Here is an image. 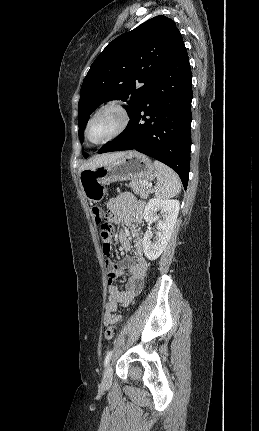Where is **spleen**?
Returning <instances> with one entry per match:
<instances>
[{"instance_id": "obj_1", "label": "spleen", "mask_w": 259, "mask_h": 431, "mask_svg": "<svg viewBox=\"0 0 259 431\" xmlns=\"http://www.w3.org/2000/svg\"><path fill=\"white\" fill-rule=\"evenodd\" d=\"M154 166L157 170V190L156 196L161 199H169L181 191V181L179 176L165 164L155 160Z\"/></svg>"}]
</instances>
